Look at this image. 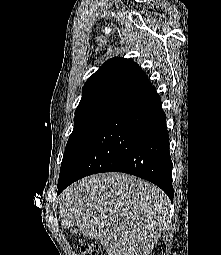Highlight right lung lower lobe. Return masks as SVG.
<instances>
[{"label": "right lung lower lobe", "instance_id": "right-lung-lower-lobe-1", "mask_svg": "<svg viewBox=\"0 0 221 255\" xmlns=\"http://www.w3.org/2000/svg\"><path fill=\"white\" fill-rule=\"evenodd\" d=\"M168 143L166 116L160 97L151 85L110 116L58 182V194L82 177L116 171L156 184L172 201V161Z\"/></svg>", "mask_w": 221, "mask_h": 255}]
</instances>
